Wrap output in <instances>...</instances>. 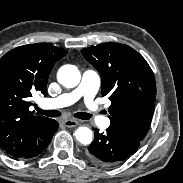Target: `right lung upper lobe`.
Segmentation results:
<instances>
[{
	"instance_id": "obj_1",
	"label": "right lung upper lobe",
	"mask_w": 183,
	"mask_h": 183,
	"mask_svg": "<svg viewBox=\"0 0 183 183\" xmlns=\"http://www.w3.org/2000/svg\"><path fill=\"white\" fill-rule=\"evenodd\" d=\"M67 51L47 45L17 47L0 59V147L10 156H26L50 119L30 111L35 91L46 95L48 76Z\"/></svg>"
}]
</instances>
